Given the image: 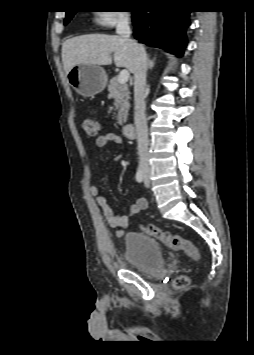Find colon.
<instances>
[{
  "mask_svg": "<svg viewBox=\"0 0 254 355\" xmlns=\"http://www.w3.org/2000/svg\"><path fill=\"white\" fill-rule=\"evenodd\" d=\"M83 129L87 135L95 136L98 133L97 122L94 119L86 118L83 120ZM142 228L148 235L160 240L171 249L186 252L192 260L197 261L200 258L197 247L184 237L162 230L154 225H145ZM188 284L189 278L187 276H179L174 280V286L179 289L185 288Z\"/></svg>",
  "mask_w": 254,
  "mask_h": 355,
  "instance_id": "1",
  "label": "colon"
}]
</instances>
